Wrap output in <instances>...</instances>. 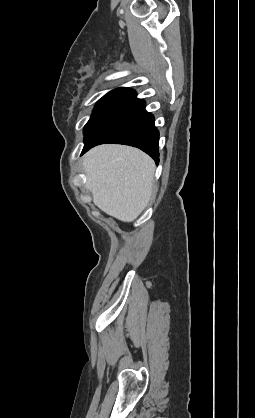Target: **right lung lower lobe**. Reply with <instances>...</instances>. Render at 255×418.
Instances as JSON below:
<instances>
[{
    "instance_id": "1",
    "label": "right lung lower lobe",
    "mask_w": 255,
    "mask_h": 418,
    "mask_svg": "<svg viewBox=\"0 0 255 418\" xmlns=\"http://www.w3.org/2000/svg\"><path fill=\"white\" fill-rule=\"evenodd\" d=\"M159 131L154 117L145 110V102L134 90L125 88L114 96L93 118L85 131L84 154L103 143H117L137 147L158 164Z\"/></svg>"
}]
</instances>
